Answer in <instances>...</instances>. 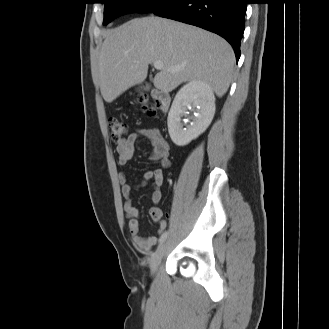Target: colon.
<instances>
[{
	"label": "colon",
	"instance_id": "5ec220e1",
	"mask_svg": "<svg viewBox=\"0 0 329 329\" xmlns=\"http://www.w3.org/2000/svg\"><path fill=\"white\" fill-rule=\"evenodd\" d=\"M141 101L143 102V110L149 116H155L157 114V111L159 109L158 103H149L148 99L145 97H142ZM108 125H109L110 135L112 140L119 141L123 139V137L126 135L127 126L124 122L120 121L119 119L110 118Z\"/></svg>",
	"mask_w": 329,
	"mask_h": 329
}]
</instances>
